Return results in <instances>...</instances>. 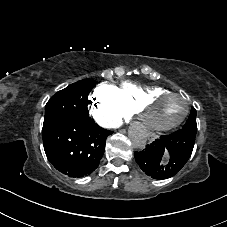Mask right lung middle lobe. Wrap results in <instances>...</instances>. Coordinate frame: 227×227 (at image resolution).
<instances>
[{"label":"right lung middle lobe","mask_w":227,"mask_h":227,"mask_svg":"<svg viewBox=\"0 0 227 227\" xmlns=\"http://www.w3.org/2000/svg\"><path fill=\"white\" fill-rule=\"evenodd\" d=\"M94 86L93 81L84 79L53 95L45 106L43 129L68 118L89 116L88 95Z\"/></svg>","instance_id":"right-lung-middle-lobe-1"}]
</instances>
